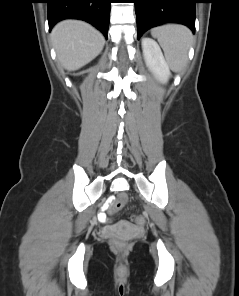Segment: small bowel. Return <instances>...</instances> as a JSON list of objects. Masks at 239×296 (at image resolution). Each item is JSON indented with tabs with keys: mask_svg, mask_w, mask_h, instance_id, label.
I'll list each match as a JSON object with an SVG mask.
<instances>
[{
	"mask_svg": "<svg viewBox=\"0 0 239 296\" xmlns=\"http://www.w3.org/2000/svg\"><path fill=\"white\" fill-rule=\"evenodd\" d=\"M105 214H101L102 217H104L106 219V217L104 216Z\"/></svg>",
	"mask_w": 239,
	"mask_h": 296,
	"instance_id": "1",
	"label": "small bowel"
}]
</instances>
